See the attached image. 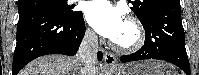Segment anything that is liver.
I'll return each instance as SVG.
<instances>
[{"instance_id": "liver-1", "label": "liver", "mask_w": 199, "mask_h": 75, "mask_svg": "<svg viewBox=\"0 0 199 75\" xmlns=\"http://www.w3.org/2000/svg\"><path fill=\"white\" fill-rule=\"evenodd\" d=\"M83 68L77 57L48 55L30 62L19 75H82ZM103 73V67L96 64L95 75Z\"/></svg>"}]
</instances>
